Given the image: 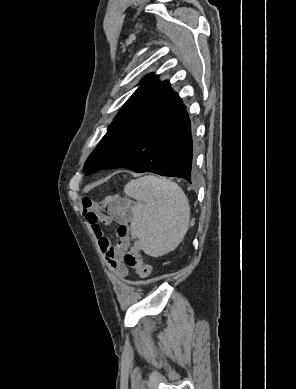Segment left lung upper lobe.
<instances>
[{"mask_svg": "<svg viewBox=\"0 0 296 389\" xmlns=\"http://www.w3.org/2000/svg\"><path fill=\"white\" fill-rule=\"evenodd\" d=\"M141 86L133 93V95L129 98V100L125 103L124 107L121 109L119 114L113 123L118 120L122 115H124L127 111L135 107L141 101H143L146 97H148L153 91H155L163 82L158 81V76L151 74L147 76L144 80H142ZM99 163L97 162L94 153L88 157L85 165L84 172L85 174H91L93 172L98 171Z\"/></svg>", "mask_w": 296, "mask_h": 389, "instance_id": "obj_1", "label": "left lung upper lobe"}]
</instances>
